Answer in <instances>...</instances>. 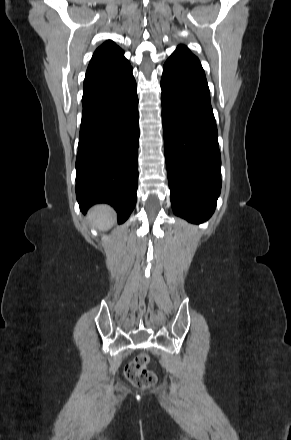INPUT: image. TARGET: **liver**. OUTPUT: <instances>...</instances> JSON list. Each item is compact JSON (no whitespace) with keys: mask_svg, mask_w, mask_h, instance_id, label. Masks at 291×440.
I'll return each mask as SVG.
<instances>
[{"mask_svg":"<svg viewBox=\"0 0 291 440\" xmlns=\"http://www.w3.org/2000/svg\"><path fill=\"white\" fill-rule=\"evenodd\" d=\"M89 220L102 231L109 230L115 223V214L107 205H97L90 210Z\"/></svg>","mask_w":291,"mask_h":440,"instance_id":"1","label":"liver"}]
</instances>
